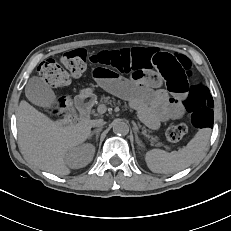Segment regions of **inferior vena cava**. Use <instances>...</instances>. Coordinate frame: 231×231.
Segmentation results:
<instances>
[{"label":"inferior vena cava","instance_id":"1","mask_svg":"<svg viewBox=\"0 0 231 231\" xmlns=\"http://www.w3.org/2000/svg\"><path fill=\"white\" fill-rule=\"evenodd\" d=\"M104 124H105V122L102 119L92 121L93 127L101 128Z\"/></svg>","mask_w":231,"mask_h":231}]
</instances>
